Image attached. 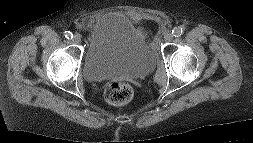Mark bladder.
Wrapping results in <instances>:
<instances>
[{"mask_svg":"<svg viewBox=\"0 0 253 143\" xmlns=\"http://www.w3.org/2000/svg\"><path fill=\"white\" fill-rule=\"evenodd\" d=\"M156 57L147 37L123 13L100 15L88 31L83 70L88 81L142 78L152 73Z\"/></svg>","mask_w":253,"mask_h":143,"instance_id":"31cf9c89","label":"bladder"}]
</instances>
